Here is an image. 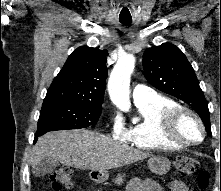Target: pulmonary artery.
<instances>
[{
	"mask_svg": "<svg viewBox=\"0 0 221 191\" xmlns=\"http://www.w3.org/2000/svg\"><path fill=\"white\" fill-rule=\"evenodd\" d=\"M156 95L152 88L142 84H136L132 90V98L135 104L151 101Z\"/></svg>",
	"mask_w": 221,
	"mask_h": 191,
	"instance_id": "1",
	"label": "pulmonary artery"
}]
</instances>
